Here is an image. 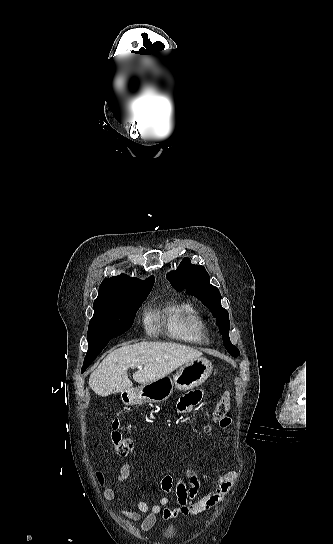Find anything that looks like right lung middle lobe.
Wrapping results in <instances>:
<instances>
[{
	"mask_svg": "<svg viewBox=\"0 0 333 544\" xmlns=\"http://www.w3.org/2000/svg\"><path fill=\"white\" fill-rule=\"evenodd\" d=\"M151 290L141 294L94 303V315L88 328V351L83 367L90 365L108 342L123 334L133 324L136 312Z\"/></svg>",
	"mask_w": 333,
	"mask_h": 544,
	"instance_id": "right-lung-middle-lobe-1",
	"label": "right lung middle lobe"
}]
</instances>
